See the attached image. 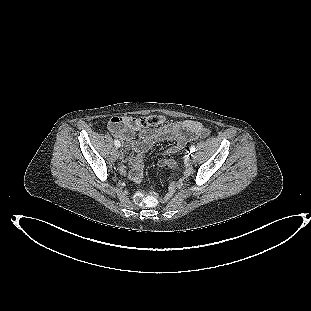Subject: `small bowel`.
I'll list each match as a JSON object with an SVG mask.
<instances>
[{
	"mask_svg": "<svg viewBox=\"0 0 311 311\" xmlns=\"http://www.w3.org/2000/svg\"><path fill=\"white\" fill-rule=\"evenodd\" d=\"M115 122L119 123L117 128L114 127ZM108 129L126 144L127 148L123 151L122 158L131 163L130 175L135 182L142 180L144 155L155 142L174 141V144L163 152L164 155H170L183 150L188 142L207 134V129L202 123L190 119L166 124L156 129H144L138 118L115 116L110 119ZM137 131L139 139L135 140L134 134ZM169 163L174 162L168 159L160 160L162 166H167ZM169 193L170 190L167 195Z\"/></svg>",
	"mask_w": 311,
	"mask_h": 311,
	"instance_id": "c3829d8e",
	"label": "small bowel"
}]
</instances>
